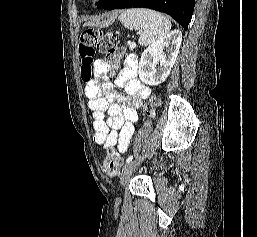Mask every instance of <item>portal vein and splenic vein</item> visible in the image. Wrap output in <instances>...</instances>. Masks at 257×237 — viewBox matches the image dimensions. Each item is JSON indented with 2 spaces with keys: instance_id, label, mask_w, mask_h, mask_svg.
Segmentation results:
<instances>
[{
  "instance_id": "obj_1",
  "label": "portal vein and splenic vein",
  "mask_w": 257,
  "mask_h": 237,
  "mask_svg": "<svg viewBox=\"0 0 257 237\" xmlns=\"http://www.w3.org/2000/svg\"><path fill=\"white\" fill-rule=\"evenodd\" d=\"M129 45H130V48H135L136 47V44L134 42H129Z\"/></svg>"
}]
</instances>
